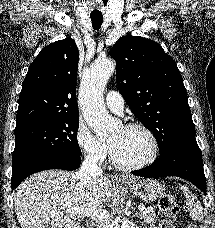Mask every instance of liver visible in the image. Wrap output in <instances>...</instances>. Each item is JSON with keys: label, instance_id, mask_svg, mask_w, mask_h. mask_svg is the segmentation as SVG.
<instances>
[{"label": "liver", "instance_id": "obj_1", "mask_svg": "<svg viewBox=\"0 0 215 228\" xmlns=\"http://www.w3.org/2000/svg\"><path fill=\"white\" fill-rule=\"evenodd\" d=\"M112 190L106 176L83 186L76 172L45 170L26 178L13 192L15 214L21 228H81V218L95 220L94 212H102ZM80 210L85 214H78Z\"/></svg>", "mask_w": 215, "mask_h": 228}]
</instances>
